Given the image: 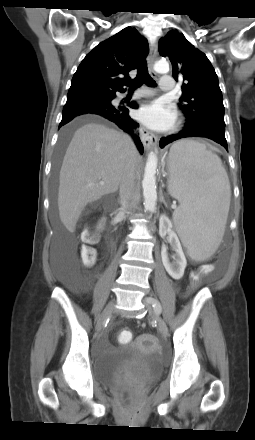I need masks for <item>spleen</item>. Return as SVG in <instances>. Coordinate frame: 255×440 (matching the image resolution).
<instances>
[{
	"mask_svg": "<svg viewBox=\"0 0 255 440\" xmlns=\"http://www.w3.org/2000/svg\"><path fill=\"white\" fill-rule=\"evenodd\" d=\"M168 191L180 206L173 214L176 231L197 261L218 248L227 221L231 189L221 159L196 141L175 143L169 154Z\"/></svg>",
	"mask_w": 255,
	"mask_h": 440,
	"instance_id": "obj_1",
	"label": "spleen"
}]
</instances>
